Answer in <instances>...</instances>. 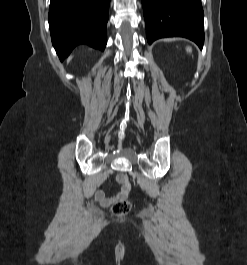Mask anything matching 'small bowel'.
Listing matches in <instances>:
<instances>
[{
  "mask_svg": "<svg viewBox=\"0 0 247 265\" xmlns=\"http://www.w3.org/2000/svg\"><path fill=\"white\" fill-rule=\"evenodd\" d=\"M128 195V192L121 190L116 197H107L103 190H98L95 193V199L104 207L109 206L114 200L125 199Z\"/></svg>",
  "mask_w": 247,
  "mask_h": 265,
  "instance_id": "1",
  "label": "small bowel"
}]
</instances>
